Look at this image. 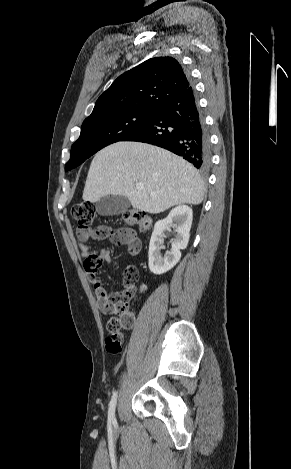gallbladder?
Here are the masks:
<instances>
[{"label":"gallbladder","mask_w":291,"mask_h":469,"mask_svg":"<svg viewBox=\"0 0 291 469\" xmlns=\"http://www.w3.org/2000/svg\"><path fill=\"white\" fill-rule=\"evenodd\" d=\"M129 207V199L121 195H106L95 204L96 211L101 216L118 215L126 212Z\"/></svg>","instance_id":"bac80fb5"}]
</instances>
